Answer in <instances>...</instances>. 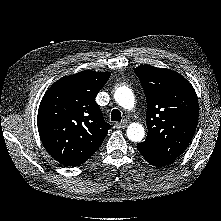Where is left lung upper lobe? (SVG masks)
Masks as SVG:
<instances>
[{"instance_id":"obj_1","label":"left lung upper lobe","mask_w":221,"mask_h":221,"mask_svg":"<svg viewBox=\"0 0 221 221\" xmlns=\"http://www.w3.org/2000/svg\"><path fill=\"white\" fill-rule=\"evenodd\" d=\"M144 89L148 135L137 144L147 161L171 164L186 149L198 123V99L179 73L150 65L134 69Z\"/></svg>"}]
</instances>
